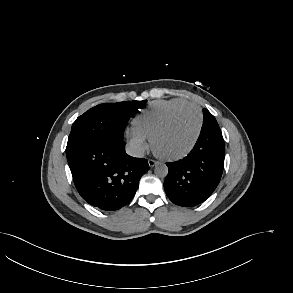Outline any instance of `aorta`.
Listing matches in <instances>:
<instances>
[{
  "instance_id": "obj_1",
  "label": "aorta",
  "mask_w": 293,
  "mask_h": 293,
  "mask_svg": "<svg viewBox=\"0 0 293 293\" xmlns=\"http://www.w3.org/2000/svg\"><path fill=\"white\" fill-rule=\"evenodd\" d=\"M154 173L158 177H166L168 174V167L166 164L158 163L155 166Z\"/></svg>"
}]
</instances>
